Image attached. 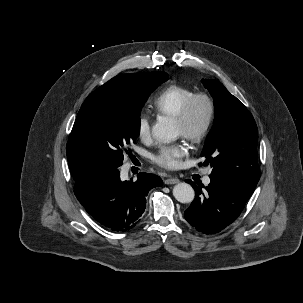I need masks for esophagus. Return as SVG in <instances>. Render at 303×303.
<instances>
[{"label": "esophagus", "mask_w": 303, "mask_h": 303, "mask_svg": "<svg viewBox=\"0 0 303 303\" xmlns=\"http://www.w3.org/2000/svg\"><path fill=\"white\" fill-rule=\"evenodd\" d=\"M179 179L178 178H167L164 183L169 185V184H176L179 183Z\"/></svg>", "instance_id": "34e87169"}]
</instances>
